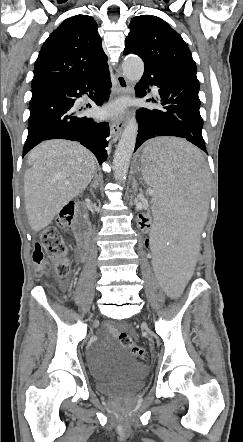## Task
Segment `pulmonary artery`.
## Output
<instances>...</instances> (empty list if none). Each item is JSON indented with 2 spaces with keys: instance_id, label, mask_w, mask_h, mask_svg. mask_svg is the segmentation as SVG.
<instances>
[{
  "instance_id": "obj_1",
  "label": "pulmonary artery",
  "mask_w": 243,
  "mask_h": 442,
  "mask_svg": "<svg viewBox=\"0 0 243 442\" xmlns=\"http://www.w3.org/2000/svg\"><path fill=\"white\" fill-rule=\"evenodd\" d=\"M152 90H153V94H154V95H156V96L159 95L158 88H157L156 86H153V87H152Z\"/></svg>"
}]
</instances>
